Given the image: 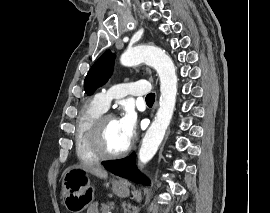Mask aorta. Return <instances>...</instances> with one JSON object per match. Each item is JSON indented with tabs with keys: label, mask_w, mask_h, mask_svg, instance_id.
Masks as SVG:
<instances>
[{
	"label": "aorta",
	"mask_w": 270,
	"mask_h": 213,
	"mask_svg": "<svg viewBox=\"0 0 270 213\" xmlns=\"http://www.w3.org/2000/svg\"><path fill=\"white\" fill-rule=\"evenodd\" d=\"M120 62L124 66L145 62L157 71L160 78L159 109L142 139L138 155L139 161L145 164L156 154L171 122L176 103L177 74L172 59L157 47L137 46L128 49L121 55Z\"/></svg>",
	"instance_id": "obj_1"
}]
</instances>
